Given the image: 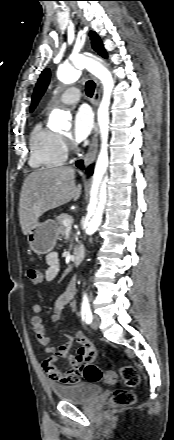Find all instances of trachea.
Here are the masks:
<instances>
[{"label": "trachea", "instance_id": "3493384b", "mask_svg": "<svg viewBox=\"0 0 174 440\" xmlns=\"http://www.w3.org/2000/svg\"><path fill=\"white\" fill-rule=\"evenodd\" d=\"M94 89H95V83L91 80L87 81L85 85V91L87 96L92 97L94 93Z\"/></svg>", "mask_w": 174, "mask_h": 440}]
</instances>
